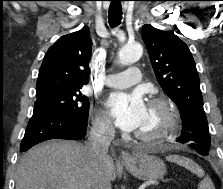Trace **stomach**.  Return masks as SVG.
Wrapping results in <instances>:
<instances>
[{
	"mask_svg": "<svg viewBox=\"0 0 223 189\" xmlns=\"http://www.w3.org/2000/svg\"><path fill=\"white\" fill-rule=\"evenodd\" d=\"M124 165L133 176L140 180L162 179L166 173L165 163L161 159L145 153L135 154Z\"/></svg>",
	"mask_w": 223,
	"mask_h": 189,
	"instance_id": "stomach-1",
	"label": "stomach"
}]
</instances>
